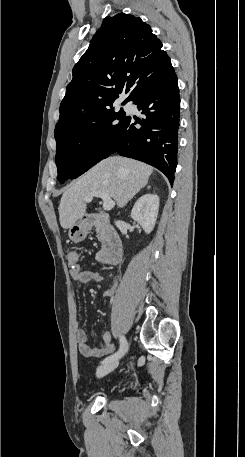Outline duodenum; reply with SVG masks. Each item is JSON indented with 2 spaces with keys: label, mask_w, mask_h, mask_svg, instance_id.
<instances>
[{
  "label": "duodenum",
  "mask_w": 245,
  "mask_h": 457,
  "mask_svg": "<svg viewBox=\"0 0 245 457\" xmlns=\"http://www.w3.org/2000/svg\"><path fill=\"white\" fill-rule=\"evenodd\" d=\"M85 222L90 226L99 225L106 232V241L97 255L98 260L105 264H118L122 259L123 246L119 235L110 222L109 216L107 214H93L89 215Z\"/></svg>",
  "instance_id": "1"
}]
</instances>
